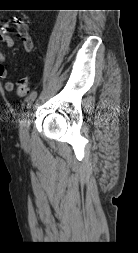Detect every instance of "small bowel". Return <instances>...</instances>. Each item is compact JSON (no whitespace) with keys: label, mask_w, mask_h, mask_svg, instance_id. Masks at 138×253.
Instances as JSON below:
<instances>
[{"label":"small bowel","mask_w":138,"mask_h":253,"mask_svg":"<svg viewBox=\"0 0 138 253\" xmlns=\"http://www.w3.org/2000/svg\"><path fill=\"white\" fill-rule=\"evenodd\" d=\"M11 25L15 26L24 51L26 53H31L34 49V42L29 31V26L23 19L18 17H13L0 26V43L2 46L5 48H11L14 45L9 31ZM5 63V55L0 50V79H6L8 77V70ZM4 88L6 91L11 92L14 90V83L12 81H6Z\"/></svg>","instance_id":"1"}]
</instances>
